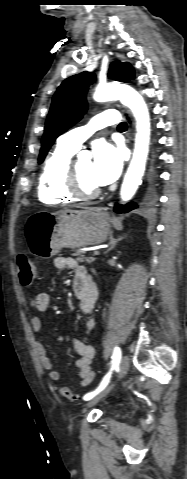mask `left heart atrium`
Returning a JSON list of instances; mask_svg holds the SVG:
<instances>
[{
    "label": "left heart atrium",
    "mask_w": 187,
    "mask_h": 479,
    "mask_svg": "<svg viewBox=\"0 0 187 479\" xmlns=\"http://www.w3.org/2000/svg\"><path fill=\"white\" fill-rule=\"evenodd\" d=\"M121 151L104 140L93 146L92 178L98 186H105L115 181L122 170Z\"/></svg>",
    "instance_id": "39dd6f15"
}]
</instances>
